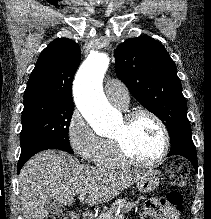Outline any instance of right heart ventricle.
Segmentation results:
<instances>
[{
	"label": "right heart ventricle",
	"instance_id": "obj_1",
	"mask_svg": "<svg viewBox=\"0 0 211 219\" xmlns=\"http://www.w3.org/2000/svg\"><path fill=\"white\" fill-rule=\"evenodd\" d=\"M93 161L96 165L106 168H118L124 165L117 157L111 139L102 141V145Z\"/></svg>",
	"mask_w": 211,
	"mask_h": 219
}]
</instances>
